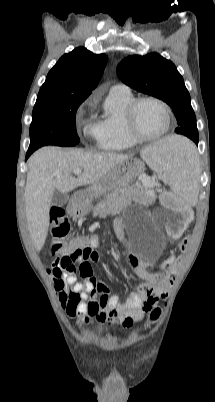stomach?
<instances>
[{
    "label": "stomach",
    "instance_id": "obj_1",
    "mask_svg": "<svg viewBox=\"0 0 215 402\" xmlns=\"http://www.w3.org/2000/svg\"><path fill=\"white\" fill-rule=\"evenodd\" d=\"M145 169L144 163L129 158L122 161L100 180L95 182L84 194L77 197L75 209L80 214H86L92 207V199L106 196L115 189L129 186Z\"/></svg>",
    "mask_w": 215,
    "mask_h": 402
}]
</instances>
